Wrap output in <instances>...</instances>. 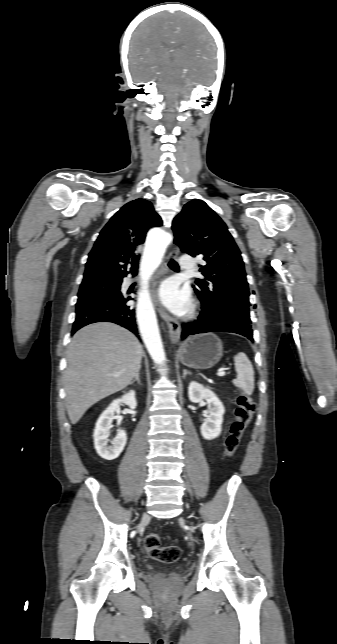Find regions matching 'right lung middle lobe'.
<instances>
[{
  "label": "right lung middle lobe",
  "mask_w": 337,
  "mask_h": 644,
  "mask_svg": "<svg viewBox=\"0 0 337 644\" xmlns=\"http://www.w3.org/2000/svg\"><path fill=\"white\" fill-rule=\"evenodd\" d=\"M120 286V279L114 278L84 281L80 285L76 306L116 296L120 293Z\"/></svg>",
  "instance_id": "obj_1"
}]
</instances>
